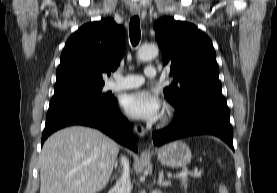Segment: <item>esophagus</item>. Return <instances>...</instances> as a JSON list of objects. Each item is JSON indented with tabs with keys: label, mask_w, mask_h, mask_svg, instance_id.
I'll list each match as a JSON object with an SVG mask.
<instances>
[{
	"label": "esophagus",
	"mask_w": 277,
	"mask_h": 193,
	"mask_svg": "<svg viewBox=\"0 0 277 193\" xmlns=\"http://www.w3.org/2000/svg\"><path fill=\"white\" fill-rule=\"evenodd\" d=\"M130 11L134 15H139L140 14V7L136 3H132L130 5ZM134 130L137 133V135L140 136V137H143L146 134V129L140 124L134 125Z\"/></svg>",
	"instance_id": "obj_1"
}]
</instances>
